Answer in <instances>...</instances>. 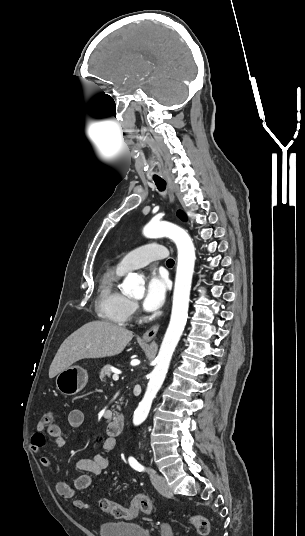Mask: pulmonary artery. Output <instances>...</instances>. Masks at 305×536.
Wrapping results in <instances>:
<instances>
[{
  "label": "pulmonary artery",
  "instance_id": "e3ab8cb5",
  "mask_svg": "<svg viewBox=\"0 0 305 536\" xmlns=\"http://www.w3.org/2000/svg\"><path fill=\"white\" fill-rule=\"evenodd\" d=\"M171 257L167 252L165 245H160L158 241L153 240L150 244H146L128 252L121 258L117 264V269L123 273L143 267L155 260H166Z\"/></svg>",
  "mask_w": 305,
  "mask_h": 536
}]
</instances>
